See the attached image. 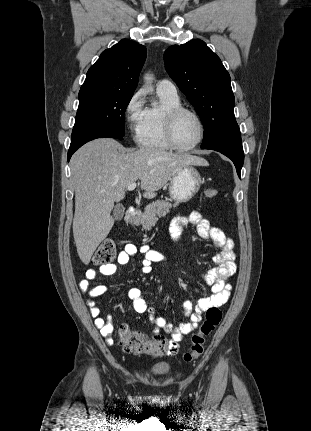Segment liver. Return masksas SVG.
<instances>
[{
    "label": "liver",
    "mask_w": 311,
    "mask_h": 431,
    "mask_svg": "<svg viewBox=\"0 0 311 431\" xmlns=\"http://www.w3.org/2000/svg\"><path fill=\"white\" fill-rule=\"evenodd\" d=\"M184 166H209L190 154H171L158 148L130 152L112 138L82 146L71 158L75 190L73 235L77 253L87 265L99 243L114 225L115 202L124 200L127 186L140 180L143 198L152 200Z\"/></svg>",
    "instance_id": "1"
}]
</instances>
